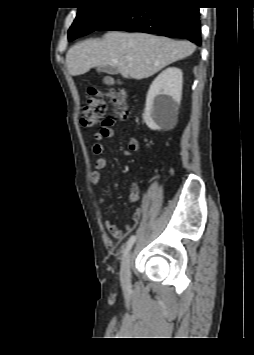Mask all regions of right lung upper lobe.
I'll return each instance as SVG.
<instances>
[{
  "mask_svg": "<svg viewBox=\"0 0 254 355\" xmlns=\"http://www.w3.org/2000/svg\"><path fill=\"white\" fill-rule=\"evenodd\" d=\"M89 2H92V1H95V0H88ZM118 2H122V3H126V2H129L131 0H116Z\"/></svg>",
  "mask_w": 254,
  "mask_h": 355,
  "instance_id": "right-lung-upper-lobe-1",
  "label": "right lung upper lobe"
}]
</instances>
